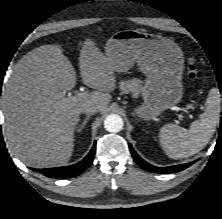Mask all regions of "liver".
<instances>
[{
	"label": "liver",
	"instance_id": "1",
	"mask_svg": "<svg viewBox=\"0 0 222 219\" xmlns=\"http://www.w3.org/2000/svg\"><path fill=\"white\" fill-rule=\"evenodd\" d=\"M82 82L96 91L65 97L76 72L60 45H43L15 65L3 95L5 134L12 152L27 166L57 167L73 152L74 131L83 108L98 104L105 113L116 87L111 60L86 38L79 57Z\"/></svg>",
	"mask_w": 222,
	"mask_h": 219
}]
</instances>
